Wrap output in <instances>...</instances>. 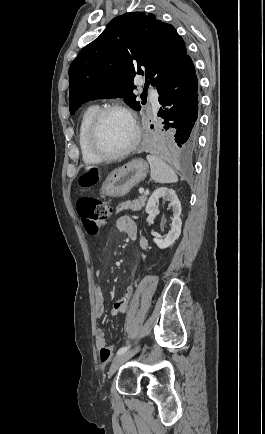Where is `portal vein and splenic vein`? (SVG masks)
Returning <instances> with one entry per match:
<instances>
[{
    "mask_svg": "<svg viewBox=\"0 0 265 434\" xmlns=\"http://www.w3.org/2000/svg\"><path fill=\"white\" fill-rule=\"evenodd\" d=\"M139 192L142 194V192H144V188H140Z\"/></svg>",
    "mask_w": 265,
    "mask_h": 434,
    "instance_id": "portal-vein-and-splenic-vein-1",
    "label": "portal vein and splenic vein"
}]
</instances>
